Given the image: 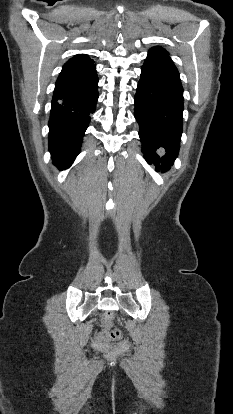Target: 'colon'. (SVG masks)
Wrapping results in <instances>:
<instances>
[{"instance_id": "colon-1", "label": "colon", "mask_w": 233, "mask_h": 414, "mask_svg": "<svg viewBox=\"0 0 233 414\" xmlns=\"http://www.w3.org/2000/svg\"><path fill=\"white\" fill-rule=\"evenodd\" d=\"M114 315L112 312H107L101 319L104 332H99L94 337V347L102 351L105 355H112L118 347L111 346L110 342L122 338L123 333L120 329H112Z\"/></svg>"}]
</instances>
